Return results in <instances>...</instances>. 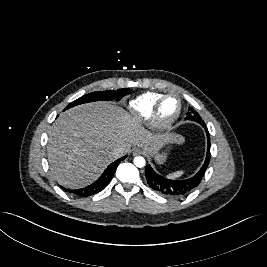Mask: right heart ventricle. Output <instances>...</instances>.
Wrapping results in <instances>:
<instances>
[{
    "mask_svg": "<svg viewBox=\"0 0 267 267\" xmlns=\"http://www.w3.org/2000/svg\"><path fill=\"white\" fill-rule=\"evenodd\" d=\"M163 94L158 92L144 93L129 103L131 111L142 121L148 120L155 102Z\"/></svg>",
    "mask_w": 267,
    "mask_h": 267,
    "instance_id": "right-heart-ventricle-1",
    "label": "right heart ventricle"
}]
</instances>
